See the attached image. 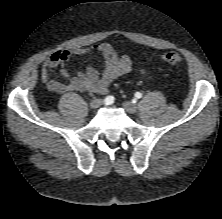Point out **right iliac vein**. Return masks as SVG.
Returning <instances> with one entry per match:
<instances>
[{
  "instance_id": "1",
  "label": "right iliac vein",
  "mask_w": 222,
  "mask_h": 219,
  "mask_svg": "<svg viewBox=\"0 0 222 219\" xmlns=\"http://www.w3.org/2000/svg\"><path fill=\"white\" fill-rule=\"evenodd\" d=\"M102 104H103V101L101 99H94L90 102V107L93 109H96Z\"/></svg>"
}]
</instances>
